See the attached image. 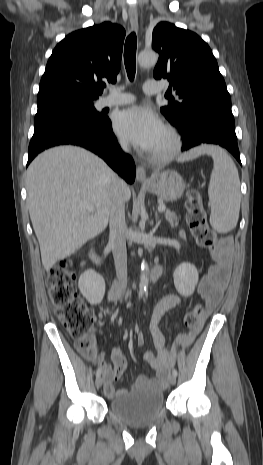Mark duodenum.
<instances>
[{
	"label": "duodenum",
	"mask_w": 263,
	"mask_h": 465,
	"mask_svg": "<svg viewBox=\"0 0 263 465\" xmlns=\"http://www.w3.org/2000/svg\"><path fill=\"white\" fill-rule=\"evenodd\" d=\"M89 257L92 260V262L97 266L100 267L103 263V258L101 254L98 252L97 248L95 246H91L88 251ZM162 273V265L158 264L155 265L154 267L151 268L149 272V279L150 281H155L157 280ZM132 287H136V282L132 283ZM128 289L124 287L121 283H115L111 290H110V295L115 298L122 297L123 295L126 294Z\"/></svg>",
	"instance_id": "obj_1"
}]
</instances>
